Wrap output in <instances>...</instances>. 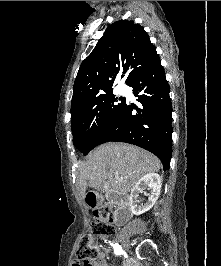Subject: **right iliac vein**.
Masks as SVG:
<instances>
[{"mask_svg":"<svg viewBox=\"0 0 221 266\" xmlns=\"http://www.w3.org/2000/svg\"><path fill=\"white\" fill-rule=\"evenodd\" d=\"M123 248L125 249V250H128L129 249V247H128V245L127 244H123Z\"/></svg>","mask_w":221,"mask_h":266,"instance_id":"63e3f726","label":"right iliac vein"}]
</instances>
